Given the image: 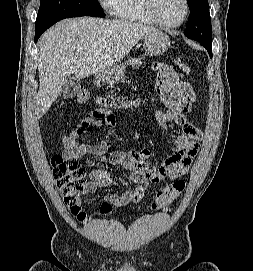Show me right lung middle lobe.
<instances>
[{
    "instance_id": "dd1d6c3e",
    "label": "right lung middle lobe",
    "mask_w": 253,
    "mask_h": 271,
    "mask_svg": "<svg viewBox=\"0 0 253 271\" xmlns=\"http://www.w3.org/2000/svg\"><path fill=\"white\" fill-rule=\"evenodd\" d=\"M79 16L105 17L97 0H41L35 31H45L57 21Z\"/></svg>"
}]
</instances>
